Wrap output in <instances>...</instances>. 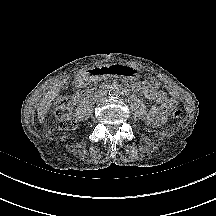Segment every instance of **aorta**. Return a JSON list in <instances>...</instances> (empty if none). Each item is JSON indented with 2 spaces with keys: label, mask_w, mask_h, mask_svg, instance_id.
<instances>
[{
  "label": "aorta",
  "mask_w": 216,
  "mask_h": 216,
  "mask_svg": "<svg viewBox=\"0 0 216 216\" xmlns=\"http://www.w3.org/2000/svg\"><path fill=\"white\" fill-rule=\"evenodd\" d=\"M120 95V90L117 87H114L110 90V96L118 97Z\"/></svg>",
  "instance_id": "aorta-1"
}]
</instances>
